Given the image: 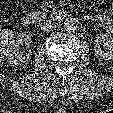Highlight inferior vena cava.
Segmentation results:
<instances>
[{"mask_svg":"<svg viewBox=\"0 0 113 113\" xmlns=\"http://www.w3.org/2000/svg\"><path fill=\"white\" fill-rule=\"evenodd\" d=\"M56 27H57L56 22L47 20L46 22L41 24V31L42 32H51V31L55 30Z\"/></svg>","mask_w":113,"mask_h":113,"instance_id":"inferior-vena-cava-1","label":"inferior vena cava"}]
</instances>
